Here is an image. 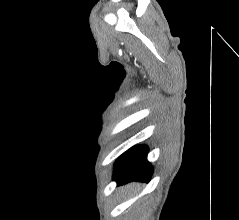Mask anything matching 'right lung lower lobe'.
<instances>
[{
    "label": "right lung lower lobe",
    "mask_w": 239,
    "mask_h": 220,
    "mask_svg": "<svg viewBox=\"0 0 239 220\" xmlns=\"http://www.w3.org/2000/svg\"><path fill=\"white\" fill-rule=\"evenodd\" d=\"M147 152L146 146H134L122 154L115 163L114 180L118 184L130 181L148 182L152 167L147 161Z\"/></svg>",
    "instance_id": "obj_1"
}]
</instances>
